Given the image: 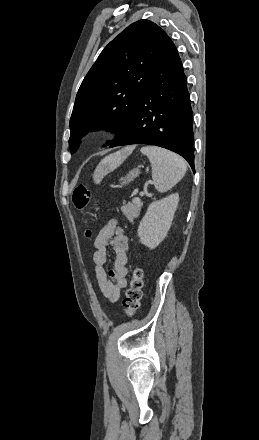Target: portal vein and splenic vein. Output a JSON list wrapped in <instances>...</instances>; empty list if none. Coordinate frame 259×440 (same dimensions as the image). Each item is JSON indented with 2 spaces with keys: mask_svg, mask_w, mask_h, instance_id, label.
<instances>
[{
  "mask_svg": "<svg viewBox=\"0 0 259 440\" xmlns=\"http://www.w3.org/2000/svg\"><path fill=\"white\" fill-rule=\"evenodd\" d=\"M139 195H140L141 197L144 196V192H140ZM133 201H134V202H139V201H140V198H134Z\"/></svg>",
  "mask_w": 259,
  "mask_h": 440,
  "instance_id": "obj_1",
  "label": "portal vein and splenic vein"
}]
</instances>
